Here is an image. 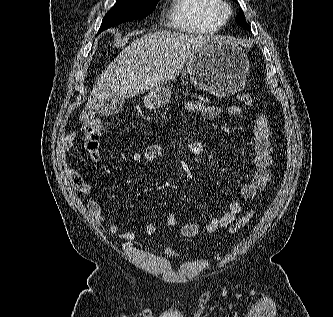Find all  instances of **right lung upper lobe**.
I'll use <instances>...</instances> for the list:
<instances>
[{"label":"right lung upper lobe","instance_id":"right-lung-upper-lobe-1","mask_svg":"<svg viewBox=\"0 0 333 317\" xmlns=\"http://www.w3.org/2000/svg\"><path fill=\"white\" fill-rule=\"evenodd\" d=\"M149 1H157V0H149Z\"/></svg>","mask_w":333,"mask_h":317}]
</instances>
